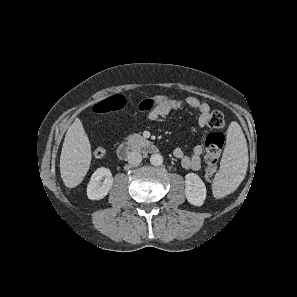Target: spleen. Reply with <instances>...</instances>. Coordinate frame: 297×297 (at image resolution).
<instances>
[{"label":"spleen","mask_w":297,"mask_h":297,"mask_svg":"<svg viewBox=\"0 0 297 297\" xmlns=\"http://www.w3.org/2000/svg\"><path fill=\"white\" fill-rule=\"evenodd\" d=\"M247 167L246 139L241 126L237 122H232L228 127L226 147L216 177V182L219 183L224 194L234 191L240 185Z\"/></svg>","instance_id":"1"}]
</instances>
